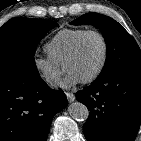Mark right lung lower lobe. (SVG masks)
<instances>
[{"label": "right lung lower lobe", "instance_id": "1", "mask_svg": "<svg viewBox=\"0 0 141 141\" xmlns=\"http://www.w3.org/2000/svg\"><path fill=\"white\" fill-rule=\"evenodd\" d=\"M67 106L39 73L0 72V141H46L53 116Z\"/></svg>", "mask_w": 141, "mask_h": 141}]
</instances>
